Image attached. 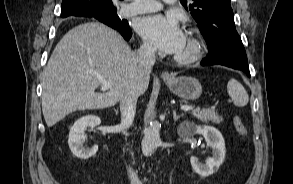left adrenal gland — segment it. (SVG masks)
Segmentation results:
<instances>
[{
  "mask_svg": "<svg viewBox=\"0 0 293 184\" xmlns=\"http://www.w3.org/2000/svg\"><path fill=\"white\" fill-rule=\"evenodd\" d=\"M181 116H183V114H181V115H177V114H176V111H175V110L173 111V120H174V121H177Z\"/></svg>",
  "mask_w": 293,
  "mask_h": 184,
  "instance_id": "a2214340",
  "label": "left adrenal gland"
}]
</instances>
